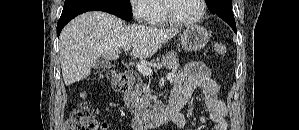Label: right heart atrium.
I'll list each match as a JSON object with an SVG mask.
<instances>
[{
    "label": "right heart atrium",
    "mask_w": 299,
    "mask_h": 130,
    "mask_svg": "<svg viewBox=\"0 0 299 130\" xmlns=\"http://www.w3.org/2000/svg\"><path fill=\"white\" fill-rule=\"evenodd\" d=\"M154 0H132L131 10L138 22H147L150 19V4Z\"/></svg>",
    "instance_id": "d8ad5b80"
}]
</instances>
